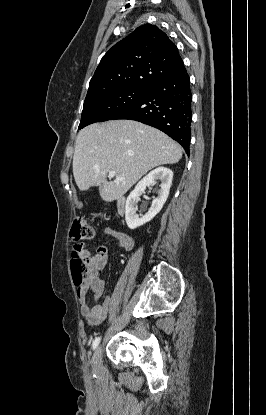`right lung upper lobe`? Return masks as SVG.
<instances>
[{"mask_svg":"<svg viewBox=\"0 0 266 415\" xmlns=\"http://www.w3.org/2000/svg\"><path fill=\"white\" fill-rule=\"evenodd\" d=\"M183 69L178 49L166 33L155 25L145 24L102 57L87 96L118 87L149 89Z\"/></svg>","mask_w":266,"mask_h":415,"instance_id":"obj_1","label":"right lung upper lobe"}]
</instances>
